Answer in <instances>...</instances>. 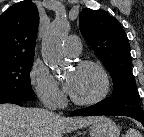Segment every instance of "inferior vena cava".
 Listing matches in <instances>:
<instances>
[{
    "instance_id": "1",
    "label": "inferior vena cava",
    "mask_w": 144,
    "mask_h": 137,
    "mask_svg": "<svg viewBox=\"0 0 144 137\" xmlns=\"http://www.w3.org/2000/svg\"><path fill=\"white\" fill-rule=\"evenodd\" d=\"M49 109L51 110V112H52V110H54V108L51 109V107H49Z\"/></svg>"
}]
</instances>
